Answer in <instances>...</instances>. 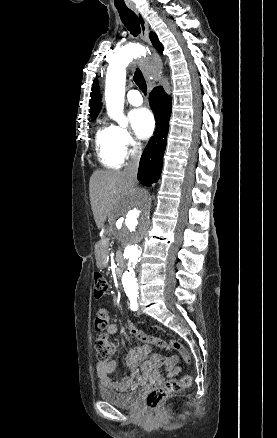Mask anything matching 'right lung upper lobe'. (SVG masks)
<instances>
[{
	"label": "right lung upper lobe",
	"instance_id": "right-lung-upper-lobe-1",
	"mask_svg": "<svg viewBox=\"0 0 277 438\" xmlns=\"http://www.w3.org/2000/svg\"><path fill=\"white\" fill-rule=\"evenodd\" d=\"M150 39L152 44L154 45V47L159 51L162 52V44L159 42L157 36L155 33H150ZM91 100H90V116L91 118H96L102 103H101V96L99 94V90H98V85H97V80H94L93 83V87H92V92H91Z\"/></svg>",
	"mask_w": 277,
	"mask_h": 438
}]
</instances>
